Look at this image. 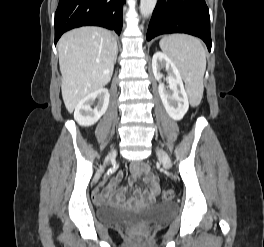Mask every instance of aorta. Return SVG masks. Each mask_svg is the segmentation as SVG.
<instances>
[{
	"label": "aorta",
	"instance_id": "762f6f07",
	"mask_svg": "<svg viewBox=\"0 0 264 247\" xmlns=\"http://www.w3.org/2000/svg\"><path fill=\"white\" fill-rule=\"evenodd\" d=\"M157 0H140V13L144 18H148L155 6H156Z\"/></svg>",
	"mask_w": 264,
	"mask_h": 247
}]
</instances>
